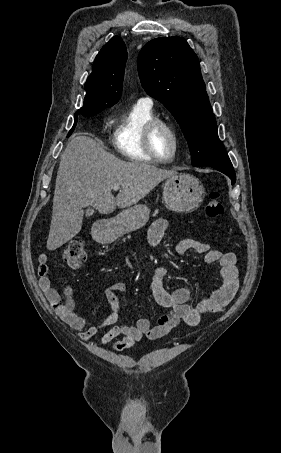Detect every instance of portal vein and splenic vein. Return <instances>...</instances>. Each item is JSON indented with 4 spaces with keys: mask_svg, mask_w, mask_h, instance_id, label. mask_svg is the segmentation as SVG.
Segmentation results:
<instances>
[{
    "mask_svg": "<svg viewBox=\"0 0 281 453\" xmlns=\"http://www.w3.org/2000/svg\"><path fill=\"white\" fill-rule=\"evenodd\" d=\"M120 186L119 184H116V186H113V190H119Z\"/></svg>",
    "mask_w": 281,
    "mask_h": 453,
    "instance_id": "obj_1",
    "label": "portal vein and splenic vein"
}]
</instances>
